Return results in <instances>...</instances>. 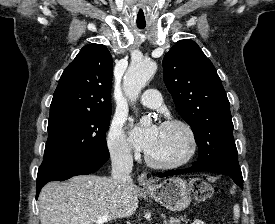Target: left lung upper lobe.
Here are the masks:
<instances>
[{
  "label": "left lung upper lobe",
  "instance_id": "left-lung-upper-lobe-1",
  "mask_svg": "<svg viewBox=\"0 0 275 224\" xmlns=\"http://www.w3.org/2000/svg\"><path fill=\"white\" fill-rule=\"evenodd\" d=\"M165 85L180 116L192 127L207 170H240L229 100L221 80L201 48L178 41L163 59Z\"/></svg>",
  "mask_w": 275,
  "mask_h": 224
}]
</instances>
